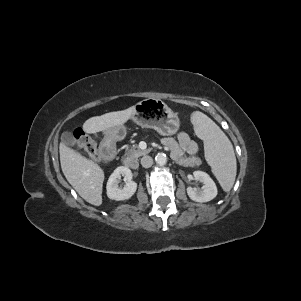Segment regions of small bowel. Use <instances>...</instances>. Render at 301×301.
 Here are the masks:
<instances>
[{"label": "small bowel", "instance_id": "obj_1", "mask_svg": "<svg viewBox=\"0 0 301 301\" xmlns=\"http://www.w3.org/2000/svg\"><path fill=\"white\" fill-rule=\"evenodd\" d=\"M164 144L169 149L172 157L182 164H186L188 161L185 155L193 156L198 151L197 143L184 131L178 132L176 140L165 138Z\"/></svg>", "mask_w": 301, "mask_h": 301}]
</instances>
